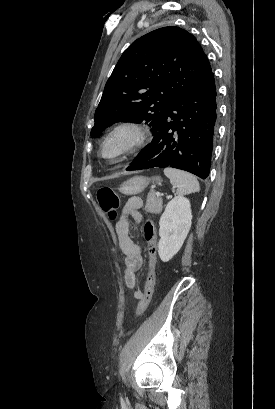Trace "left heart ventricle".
I'll list each match as a JSON object with an SVG mask.
<instances>
[{
	"label": "left heart ventricle",
	"instance_id": "b2bd125f",
	"mask_svg": "<svg viewBox=\"0 0 275 409\" xmlns=\"http://www.w3.org/2000/svg\"><path fill=\"white\" fill-rule=\"evenodd\" d=\"M118 145H119V144L116 143V144H113V145H111L110 147H108V149H107L108 153H114V152L117 150Z\"/></svg>",
	"mask_w": 275,
	"mask_h": 409
}]
</instances>
